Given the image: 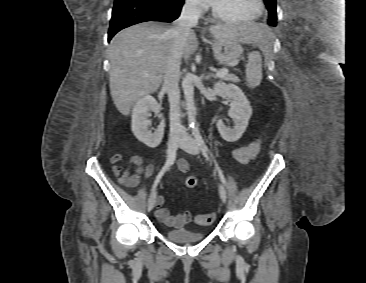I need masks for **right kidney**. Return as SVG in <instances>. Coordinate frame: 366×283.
Segmentation results:
<instances>
[{"label": "right kidney", "instance_id": "right-kidney-1", "mask_svg": "<svg viewBox=\"0 0 366 283\" xmlns=\"http://www.w3.org/2000/svg\"><path fill=\"white\" fill-rule=\"evenodd\" d=\"M151 112H154L161 122L154 133L148 130ZM165 122L160 113V106L150 95H145L138 99L132 110V132L134 136L150 148L157 147L163 139Z\"/></svg>", "mask_w": 366, "mask_h": 283}]
</instances>
